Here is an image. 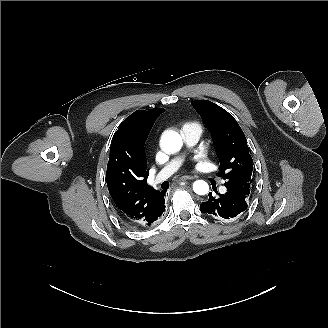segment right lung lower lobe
Listing matches in <instances>:
<instances>
[{
	"mask_svg": "<svg viewBox=\"0 0 328 328\" xmlns=\"http://www.w3.org/2000/svg\"><path fill=\"white\" fill-rule=\"evenodd\" d=\"M164 196H165V192H162L157 200V204H156V209H155V212H154V215L152 216V218L143 223V224H139V225H129L130 223H126V221L124 219H122L127 225L131 226V227H134V228H140V227H149V226H152L154 224H156L161 216L163 215V212L165 210V200H164ZM120 216V215H119Z\"/></svg>",
	"mask_w": 328,
	"mask_h": 328,
	"instance_id": "obj_1",
	"label": "right lung lower lobe"
}]
</instances>
